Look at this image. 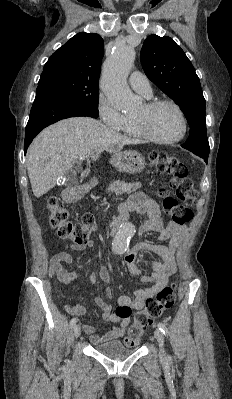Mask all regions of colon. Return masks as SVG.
<instances>
[{
    "label": "colon",
    "instance_id": "5ec220e1",
    "mask_svg": "<svg viewBox=\"0 0 232 399\" xmlns=\"http://www.w3.org/2000/svg\"><path fill=\"white\" fill-rule=\"evenodd\" d=\"M152 163L156 164L158 172H169L172 179L175 180L177 191H168V196H179V198H160L159 202L164 203L163 212L168 214V218H176V222H191L193 213V196H199L196 186H192L190 180V166L182 160H170L166 153L154 151L150 155ZM46 212L45 218L49 221L51 227L55 228L56 235L59 239H74V244H88L90 241L89 232H96L97 228L92 227L94 215H81L82 222L66 223L63 219H68V211H57L58 202L54 198H49L45 202ZM174 212V213H171ZM83 227H89L88 231ZM175 284H170L168 289H159L161 296H147L146 309L136 311L135 315L137 324L131 325L129 333L123 337L126 347H137V342L147 333L151 326L152 320L156 316H161V312L171 310L175 306L176 293Z\"/></svg>",
    "mask_w": 232,
    "mask_h": 399
}]
</instances>
